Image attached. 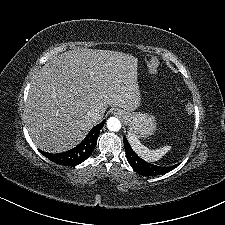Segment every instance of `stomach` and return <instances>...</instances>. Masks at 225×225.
Listing matches in <instances>:
<instances>
[{"mask_svg": "<svg viewBox=\"0 0 225 225\" xmlns=\"http://www.w3.org/2000/svg\"><path fill=\"white\" fill-rule=\"evenodd\" d=\"M117 112L121 115L129 132L137 138H145L154 133L156 129V120L153 115L131 112L125 109H119Z\"/></svg>", "mask_w": 225, "mask_h": 225, "instance_id": "0dacf381", "label": "stomach"}]
</instances>
